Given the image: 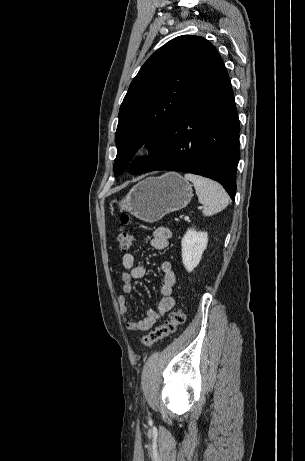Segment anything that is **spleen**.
<instances>
[{"mask_svg":"<svg viewBox=\"0 0 305 461\" xmlns=\"http://www.w3.org/2000/svg\"><path fill=\"white\" fill-rule=\"evenodd\" d=\"M184 177L194 184L204 216H212L227 207L229 197L219 183L195 174L188 173Z\"/></svg>","mask_w":305,"mask_h":461,"instance_id":"3e777b00","label":"spleen"}]
</instances>
